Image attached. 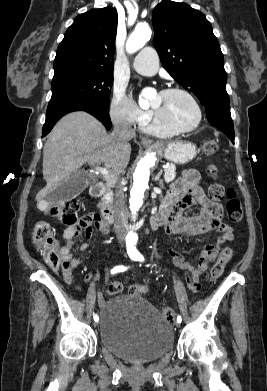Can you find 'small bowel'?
Returning <instances> with one entry per match:
<instances>
[{"label": "small bowel", "mask_w": 267, "mask_h": 391, "mask_svg": "<svg viewBox=\"0 0 267 391\" xmlns=\"http://www.w3.org/2000/svg\"><path fill=\"white\" fill-rule=\"evenodd\" d=\"M201 182L198 171H186L182 178L172 185L160 211V214L165 218V227L169 235L199 236L208 232L220 233L217 245L207 244L201 250L196 262L186 261L183 255L174 248L170 250L174 265L188 273L187 287L192 292H197L200 289V276L208 269L209 263L216 259L221 245L234 239L233 229L222 221V205L206 196ZM194 205L199 206L198 213L194 216L184 217V211ZM91 217V222L68 226L63 232L62 237L65 243L59 251L63 259V277L67 283L71 282L74 271L80 265V258L73 253L74 239L80 230L86 229L87 238V241L79 246L80 251L88 249V240L95 229L104 234L108 233V226L105 222L96 215ZM92 278V274L87 276V280ZM98 298L101 303V296L99 295Z\"/></svg>", "instance_id": "1"}]
</instances>
